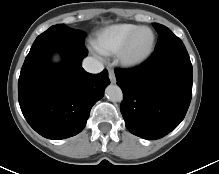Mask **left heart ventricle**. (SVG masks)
<instances>
[{
    "label": "left heart ventricle",
    "instance_id": "left-heart-ventricle-1",
    "mask_svg": "<svg viewBox=\"0 0 219 174\" xmlns=\"http://www.w3.org/2000/svg\"><path fill=\"white\" fill-rule=\"evenodd\" d=\"M151 38L152 35L149 30L140 31L131 44L129 54L132 56L142 54L148 48Z\"/></svg>",
    "mask_w": 219,
    "mask_h": 174
}]
</instances>
